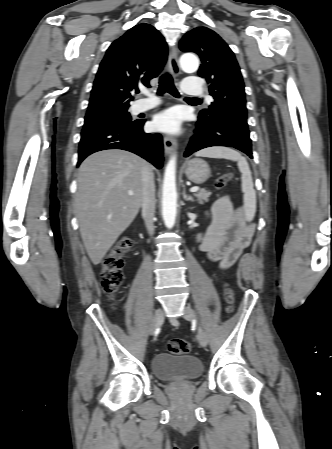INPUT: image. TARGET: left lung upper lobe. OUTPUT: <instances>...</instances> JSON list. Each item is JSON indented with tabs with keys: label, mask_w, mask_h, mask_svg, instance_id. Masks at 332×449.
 Returning <instances> with one entry per match:
<instances>
[{
	"label": "left lung upper lobe",
	"mask_w": 332,
	"mask_h": 449,
	"mask_svg": "<svg viewBox=\"0 0 332 449\" xmlns=\"http://www.w3.org/2000/svg\"><path fill=\"white\" fill-rule=\"evenodd\" d=\"M179 47L184 52L199 55L202 63L198 75L205 78L214 98L209 109L200 111L197 123L229 116L247 118L240 68L222 38L207 27H197L183 36Z\"/></svg>",
	"instance_id": "obj_1"
}]
</instances>
